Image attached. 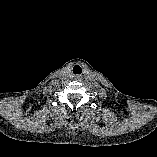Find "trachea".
<instances>
[{
  "instance_id": "1",
  "label": "trachea",
  "mask_w": 157,
  "mask_h": 157,
  "mask_svg": "<svg viewBox=\"0 0 157 157\" xmlns=\"http://www.w3.org/2000/svg\"><path fill=\"white\" fill-rule=\"evenodd\" d=\"M73 73L76 75V74H78V75H80L81 73H82V68L79 66V65H75L74 67H73Z\"/></svg>"
}]
</instances>
